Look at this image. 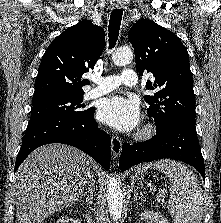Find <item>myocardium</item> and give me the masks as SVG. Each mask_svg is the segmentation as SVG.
<instances>
[{
    "label": "myocardium",
    "instance_id": "myocardium-1",
    "mask_svg": "<svg viewBox=\"0 0 221 223\" xmlns=\"http://www.w3.org/2000/svg\"><path fill=\"white\" fill-rule=\"evenodd\" d=\"M155 132V125L151 122L144 124V126L140 129L137 136L139 139H146L151 137Z\"/></svg>",
    "mask_w": 221,
    "mask_h": 223
}]
</instances>
